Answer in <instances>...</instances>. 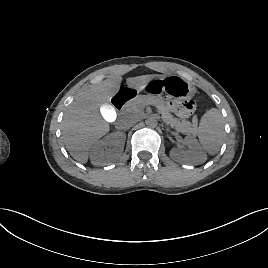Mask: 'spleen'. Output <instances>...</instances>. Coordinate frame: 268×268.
<instances>
[{"label":"spleen","instance_id":"spleen-1","mask_svg":"<svg viewBox=\"0 0 268 268\" xmlns=\"http://www.w3.org/2000/svg\"><path fill=\"white\" fill-rule=\"evenodd\" d=\"M224 134V118L218 109L211 108L202 116L198 128L203 150L210 155L216 154L222 145Z\"/></svg>","mask_w":268,"mask_h":268}]
</instances>
